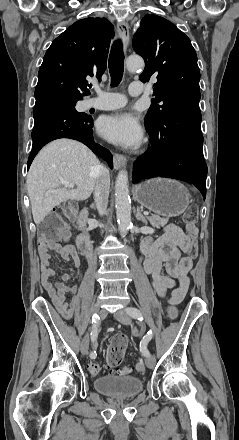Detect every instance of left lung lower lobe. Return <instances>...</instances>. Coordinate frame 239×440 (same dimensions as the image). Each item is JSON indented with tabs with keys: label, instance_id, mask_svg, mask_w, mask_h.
<instances>
[{
	"label": "left lung lower lobe",
	"instance_id": "obj_1",
	"mask_svg": "<svg viewBox=\"0 0 239 440\" xmlns=\"http://www.w3.org/2000/svg\"><path fill=\"white\" fill-rule=\"evenodd\" d=\"M199 107L180 106L147 127L150 150L134 163L133 180L169 177L193 183L206 197L207 165L203 158V136Z\"/></svg>",
	"mask_w": 239,
	"mask_h": 440
}]
</instances>
